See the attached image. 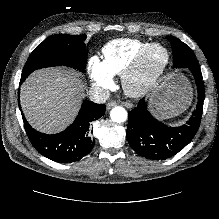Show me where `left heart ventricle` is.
Instances as JSON below:
<instances>
[{
	"mask_svg": "<svg viewBox=\"0 0 219 219\" xmlns=\"http://www.w3.org/2000/svg\"><path fill=\"white\" fill-rule=\"evenodd\" d=\"M161 59H162V53L160 51H155L147 61L146 64L147 69L156 66L161 61Z\"/></svg>",
	"mask_w": 219,
	"mask_h": 219,
	"instance_id": "left-heart-ventricle-1",
	"label": "left heart ventricle"
}]
</instances>
